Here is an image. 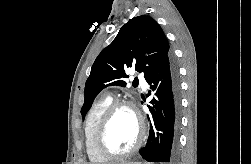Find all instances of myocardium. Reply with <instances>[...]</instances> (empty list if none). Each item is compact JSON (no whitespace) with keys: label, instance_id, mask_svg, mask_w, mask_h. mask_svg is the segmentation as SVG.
Wrapping results in <instances>:
<instances>
[{"label":"myocardium","instance_id":"1","mask_svg":"<svg viewBox=\"0 0 251 164\" xmlns=\"http://www.w3.org/2000/svg\"><path fill=\"white\" fill-rule=\"evenodd\" d=\"M120 108H127L131 110V112L134 114L137 120V124H138V138L135 144L129 150L125 152L117 153V152L111 151L107 147L105 138H106V133H107L110 121L114 113ZM145 132H146V129H145L144 120L142 116L140 115V113L138 112V110L136 109V107L133 105V103L127 100H115L111 102L110 105L106 108V110L104 111V113L102 114L98 122L96 131H95V137H94L95 149L101 156H103L106 159L116 160V159L129 157L135 152H137L142 146L143 141L145 139Z\"/></svg>","mask_w":251,"mask_h":164}]
</instances>
